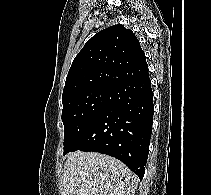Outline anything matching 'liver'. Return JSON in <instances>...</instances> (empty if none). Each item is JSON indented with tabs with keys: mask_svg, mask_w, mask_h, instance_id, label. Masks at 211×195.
Listing matches in <instances>:
<instances>
[{
	"mask_svg": "<svg viewBox=\"0 0 211 195\" xmlns=\"http://www.w3.org/2000/svg\"><path fill=\"white\" fill-rule=\"evenodd\" d=\"M62 195H134L137 176L118 159L98 152L69 153Z\"/></svg>",
	"mask_w": 211,
	"mask_h": 195,
	"instance_id": "obj_1",
	"label": "liver"
}]
</instances>
